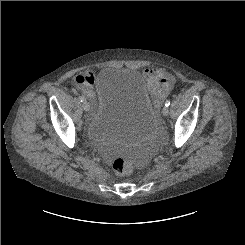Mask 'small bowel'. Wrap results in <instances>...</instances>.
I'll return each mask as SVG.
<instances>
[{
	"label": "small bowel",
	"instance_id": "c3829d8e",
	"mask_svg": "<svg viewBox=\"0 0 245 245\" xmlns=\"http://www.w3.org/2000/svg\"><path fill=\"white\" fill-rule=\"evenodd\" d=\"M142 75L147 83L150 93L158 100L163 99L175 84V78L159 69H144ZM83 79L84 81H81ZM92 80V81H91ZM94 74L92 72L77 74L75 85L88 98L94 97L92 82Z\"/></svg>",
	"mask_w": 245,
	"mask_h": 245
}]
</instances>
